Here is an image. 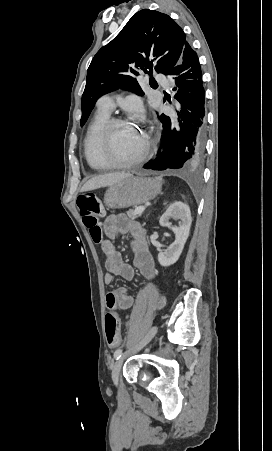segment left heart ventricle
<instances>
[{"label": "left heart ventricle", "instance_id": "1", "mask_svg": "<svg viewBox=\"0 0 272 451\" xmlns=\"http://www.w3.org/2000/svg\"><path fill=\"white\" fill-rule=\"evenodd\" d=\"M142 136L138 127L131 123L115 125L112 130L114 156L117 159L128 158Z\"/></svg>", "mask_w": 272, "mask_h": 451}]
</instances>
